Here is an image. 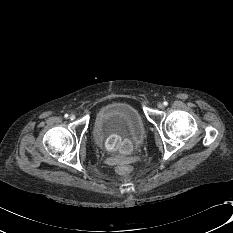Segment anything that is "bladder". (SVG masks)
<instances>
[{
  "label": "bladder",
  "mask_w": 233,
  "mask_h": 233,
  "mask_svg": "<svg viewBox=\"0 0 233 233\" xmlns=\"http://www.w3.org/2000/svg\"><path fill=\"white\" fill-rule=\"evenodd\" d=\"M147 127L138 109L128 103H110L96 114L92 126L94 138L101 142L105 136L116 134L139 146L146 137Z\"/></svg>",
  "instance_id": "31cf9c89"
}]
</instances>
